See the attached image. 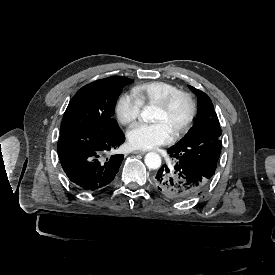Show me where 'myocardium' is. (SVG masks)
I'll list each match as a JSON object with an SVG mask.
<instances>
[{
    "label": "myocardium",
    "instance_id": "myocardium-1",
    "mask_svg": "<svg viewBox=\"0 0 275 275\" xmlns=\"http://www.w3.org/2000/svg\"><path fill=\"white\" fill-rule=\"evenodd\" d=\"M182 98L186 101L189 109L188 117L185 121V123L172 135L173 139H178L184 134H186L193 126V123L196 118L197 114V105L192 97V95L188 92L182 91V90H176L170 94H168L166 97L158 101L155 105L160 107L163 110L169 109L173 103L179 99Z\"/></svg>",
    "mask_w": 275,
    "mask_h": 275
}]
</instances>
